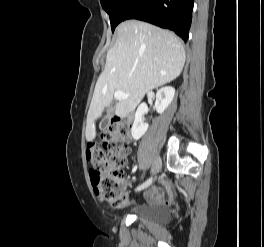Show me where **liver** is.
<instances>
[{
	"mask_svg": "<svg viewBox=\"0 0 264 247\" xmlns=\"http://www.w3.org/2000/svg\"><path fill=\"white\" fill-rule=\"evenodd\" d=\"M116 30V42L107 52L105 68L90 104L86 126L88 142L95 139V120L110 106L115 91L129 94L115 106V114L124 118L148 91L176 79L185 64L184 47L169 31L136 20L124 21Z\"/></svg>",
	"mask_w": 264,
	"mask_h": 247,
	"instance_id": "obj_1",
	"label": "liver"
}]
</instances>
